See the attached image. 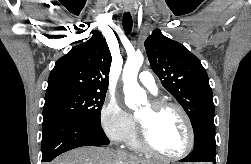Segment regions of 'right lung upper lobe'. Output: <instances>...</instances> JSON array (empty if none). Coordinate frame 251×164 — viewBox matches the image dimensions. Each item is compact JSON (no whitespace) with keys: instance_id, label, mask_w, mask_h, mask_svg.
Listing matches in <instances>:
<instances>
[{"instance_id":"obj_1","label":"right lung upper lobe","mask_w":251,"mask_h":164,"mask_svg":"<svg viewBox=\"0 0 251 164\" xmlns=\"http://www.w3.org/2000/svg\"><path fill=\"white\" fill-rule=\"evenodd\" d=\"M111 53L106 40L99 31L57 60L48 79L47 92L57 89H76L105 92Z\"/></svg>"}]
</instances>
